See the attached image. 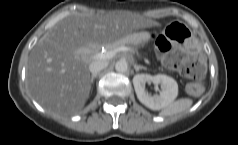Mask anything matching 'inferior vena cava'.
I'll use <instances>...</instances> for the list:
<instances>
[{"mask_svg": "<svg viewBox=\"0 0 238 145\" xmlns=\"http://www.w3.org/2000/svg\"><path fill=\"white\" fill-rule=\"evenodd\" d=\"M107 65H108V63L105 61L96 60V61H93L90 63L89 70L92 73V75L97 74L98 72H100L101 70L106 68Z\"/></svg>", "mask_w": 238, "mask_h": 145, "instance_id": "602c4592", "label": "inferior vena cava"}]
</instances>
